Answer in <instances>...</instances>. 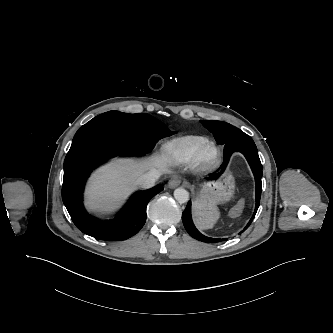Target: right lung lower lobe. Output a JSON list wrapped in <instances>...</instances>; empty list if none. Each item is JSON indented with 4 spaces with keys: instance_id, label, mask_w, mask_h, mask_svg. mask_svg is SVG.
Segmentation results:
<instances>
[{
    "instance_id": "98d812e1",
    "label": "right lung lower lobe",
    "mask_w": 333,
    "mask_h": 333,
    "mask_svg": "<svg viewBox=\"0 0 333 333\" xmlns=\"http://www.w3.org/2000/svg\"><path fill=\"white\" fill-rule=\"evenodd\" d=\"M116 155H144L132 145L105 134H91L73 141L64 161L63 202L76 227L99 240L120 241L139 232L146 221V207L162 191L157 185L134 194L113 220L101 221L84 209L82 193L86 178L94 167Z\"/></svg>"
}]
</instances>
